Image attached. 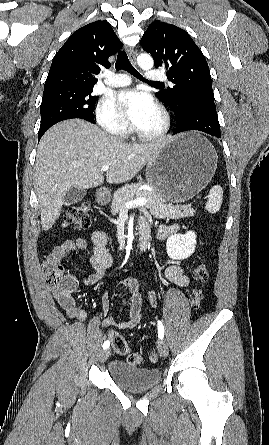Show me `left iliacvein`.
Masks as SVG:
<instances>
[{
    "mask_svg": "<svg viewBox=\"0 0 269 445\" xmlns=\"http://www.w3.org/2000/svg\"><path fill=\"white\" fill-rule=\"evenodd\" d=\"M158 351L160 356L167 357L168 356V346L164 341H160L158 344Z\"/></svg>",
    "mask_w": 269,
    "mask_h": 445,
    "instance_id": "1",
    "label": "left iliac vein"
}]
</instances>
